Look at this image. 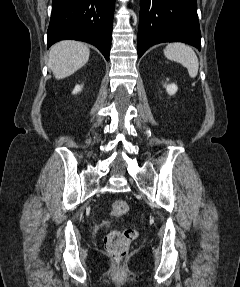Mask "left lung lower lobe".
I'll use <instances>...</instances> for the list:
<instances>
[{"label":"left lung lower lobe","mask_w":240,"mask_h":287,"mask_svg":"<svg viewBox=\"0 0 240 287\" xmlns=\"http://www.w3.org/2000/svg\"><path fill=\"white\" fill-rule=\"evenodd\" d=\"M161 42H184L200 50L196 0H140L138 56Z\"/></svg>","instance_id":"1"}]
</instances>
